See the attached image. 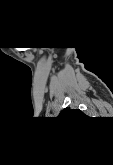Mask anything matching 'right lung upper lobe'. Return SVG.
Returning <instances> with one entry per match:
<instances>
[{
  "label": "right lung upper lobe",
  "mask_w": 113,
  "mask_h": 165,
  "mask_svg": "<svg viewBox=\"0 0 113 165\" xmlns=\"http://www.w3.org/2000/svg\"><path fill=\"white\" fill-rule=\"evenodd\" d=\"M58 117H60V118H80V117H85V114L79 109L65 108L60 112Z\"/></svg>",
  "instance_id": "right-lung-upper-lobe-1"
}]
</instances>
